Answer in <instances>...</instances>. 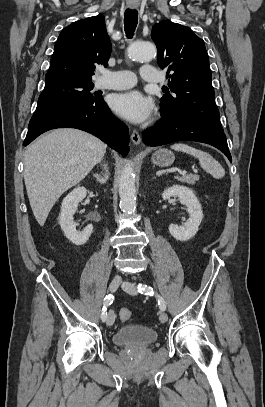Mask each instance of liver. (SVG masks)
<instances>
[{
    "label": "liver",
    "mask_w": 265,
    "mask_h": 407,
    "mask_svg": "<svg viewBox=\"0 0 265 407\" xmlns=\"http://www.w3.org/2000/svg\"><path fill=\"white\" fill-rule=\"evenodd\" d=\"M105 152L106 145L97 137L72 128L53 130L27 147L24 181L40 226L59 197L82 181Z\"/></svg>",
    "instance_id": "obj_1"
}]
</instances>
